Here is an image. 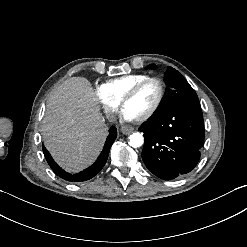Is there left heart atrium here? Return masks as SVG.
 I'll use <instances>...</instances> for the list:
<instances>
[{
    "label": "left heart atrium",
    "instance_id": "39dd6f15",
    "mask_svg": "<svg viewBox=\"0 0 247 247\" xmlns=\"http://www.w3.org/2000/svg\"><path fill=\"white\" fill-rule=\"evenodd\" d=\"M122 117L126 120V121H132L137 119V116L130 111L129 109L124 108L122 111Z\"/></svg>",
    "mask_w": 247,
    "mask_h": 247
}]
</instances>
